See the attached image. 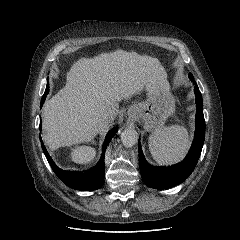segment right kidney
<instances>
[{"instance_id": "obj_1", "label": "right kidney", "mask_w": 240, "mask_h": 240, "mask_svg": "<svg viewBox=\"0 0 240 240\" xmlns=\"http://www.w3.org/2000/svg\"><path fill=\"white\" fill-rule=\"evenodd\" d=\"M96 151L92 147L80 146L76 147L71 152L72 161L83 164L89 163L95 157Z\"/></svg>"}]
</instances>
